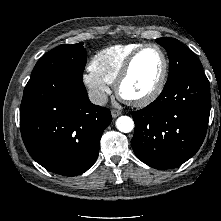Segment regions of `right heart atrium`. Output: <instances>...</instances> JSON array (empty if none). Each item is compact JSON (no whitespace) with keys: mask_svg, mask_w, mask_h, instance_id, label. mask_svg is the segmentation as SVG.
I'll return each mask as SVG.
<instances>
[{"mask_svg":"<svg viewBox=\"0 0 221 221\" xmlns=\"http://www.w3.org/2000/svg\"><path fill=\"white\" fill-rule=\"evenodd\" d=\"M83 83L97 104H103L111 92L107 82L97 77L90 69L83 75Z\"/></svg>","mask_w":221,"mask_h":221,"instance_id":"1","label":"right heart atrium"}]
</instances>
